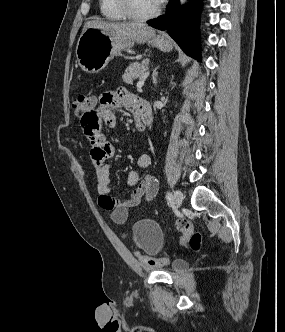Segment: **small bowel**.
<instances>
[{
  "instance_id": "1",
  "label": "small bowel",
  "mask_w": 285,
  "mask_h": 332,
  "mask_svg": "<svg viewBox=\"0 0 285 332\" xmlns=\"http://www.w3.org/2000/svg\"><path fill=\"white\" fill-rule=\"evenodd\" d=\"M110 108L131 112L136 117L137 129L139 131L144 129L137 109V98L123 87L98 96V106H92L88 111H83V115L78 116V121L82 122L83 133L92 144L90 154L96 166L98 204L103 210L110 212L115 224L121 225L126 222L133 208L151 201L156 196L158 183L151 175H146L140 181L141 171L148 168L152 161L151 156L144 153L138 157L135 168L129 172L127 177L128 185L134 187L132 194L123 199H117L112 195L110 166L106 161L115 156L116 149L101 134L107 130V126L114 124V114Z\"/></svg>"
}]
</instances>
